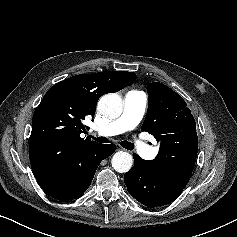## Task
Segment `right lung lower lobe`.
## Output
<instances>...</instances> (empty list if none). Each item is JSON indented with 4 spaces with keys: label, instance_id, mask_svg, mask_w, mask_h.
I'll list each match as a JSON object with an SVG mask.
<instances>
[{
    "label": "right lung lower lobe",
    "instance_id": "1",
    "mask_svg": "<svg viewBox=\"0 0 237 237\" xmlns=\"http://www.w3.org/2000/svg\"><path fill=\"white\" fill-rule=\"evenodd\" d=\"M114 144H97L77 153L56 174L37 178L40 187L57 200L81 197L89 188L100 162L115 152Z\"/></svg>",
    "mask_w": 237,
    "mask_h": 237
}]
</instances>
